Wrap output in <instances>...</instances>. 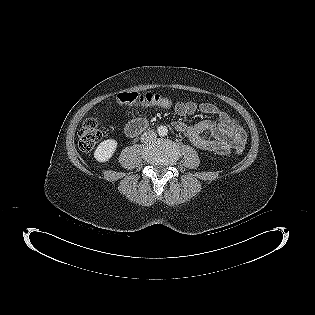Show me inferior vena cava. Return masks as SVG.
Instances as JSON below:
<instances>
[{
    "label": "inferior vena cava",
    "mask_w": 315,
    "mask_h": 315,
    "mask_svg": "<svg viewBox=\"0 0 315 315\" xmlns=\"http://www.w3.org/2000/svg\"><path fill=\"white\" fill-rule=\"evenodd\" d=\"M156 137H157V134L154 131H152V130L146 131L141 135V141L143 143L150 142V141L155 140Z\"/></svg>",
    "instance_id": "inferior-vena-cava-1"
}]
</instances>
